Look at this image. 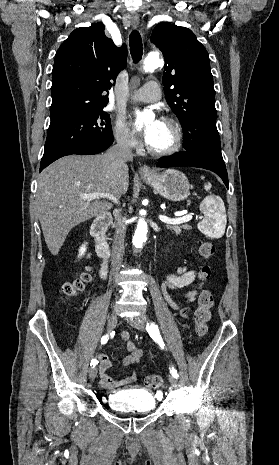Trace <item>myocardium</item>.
I'll list each match as a JSON object with an SVG mask.
<instances>
[{
	"instance_id": "1",
	"label": "myocardium",
	"mask_w": 279,
	"mask_h": 465,
	"mask_svg": "<svg viewBox=\"0 0 279 465\" xmlns=\"http://www.w3.org/2000/svg\"><path fill=\"white\" fill-rule=\"evenodd\" d=\"M162 122L167 123L173 128L175 139H174V143L172 144V146H170L169 148L165 150H154L146 142L147 152L154 157H166V156L173 155L180 150L183 144L184 135H183V129L181 125L175 119L170 118V117L162 118Z\"/></svg>"
}]
</instances>
